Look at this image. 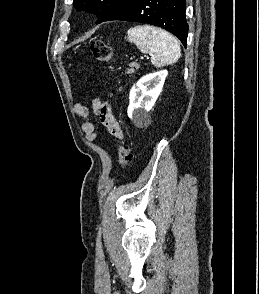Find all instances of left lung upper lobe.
<instances>
[{"instance_id":"obj_1","label":"left lung upper lobe","mask_w":259,"mask_h":294,"mask_svg":"<svg viewBox=\"0 0 259 294\" xmlns=\"http://www.w3.org/2000/svg\"><path fill=\"white\" fill-rule=\"evenodd\" d=\"M126 0H74L73 6L77 11H87L96 14L97 24L104 19L121 3Z\"/></svg>"}]
</instances>
